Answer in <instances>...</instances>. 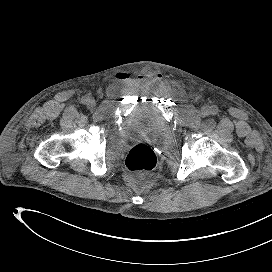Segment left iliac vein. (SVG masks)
I'll return each instance as SVG.
<instances>
[{"instance_id":"obj_1","label":"left iliac vein","mask_w":272,"mask_h":272,"mask_svg":"<svg viewBox=\"0 0 272 272\" xmlns=\"http://www.w3.org/2000/svg\"><path fill=\"white\" fill-rule=\"evenodd\" d=\"M210 113V110L208 107H203L201 109V115L204 117V116H207L208 114Z\"/></svg>"}]
</instances>
